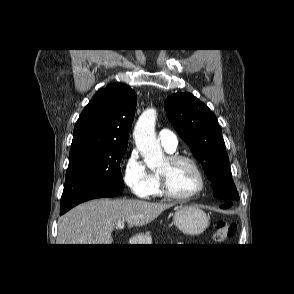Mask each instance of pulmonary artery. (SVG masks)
<instances>
[{"label": "pulmonary artery", "instance_id": "e3ab8cb5", "mask_svg": "<svg viewBox=\"0 0 294 294\" xmlns=\"http://www.w3.org/2000/svg\"><path fill=\"white\" fill-rule=\"evenodd\" d=\"M158 139L167 152L173 153L176 151L178 141L176 136L170 130L162 129L158 134Z\"/></svg>", "mask_w": 294, "mask_h": 294}]
</instances>
